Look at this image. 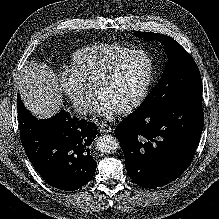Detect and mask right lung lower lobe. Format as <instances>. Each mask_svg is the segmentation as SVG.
<instances>
[{"instance_id": "right-lung-lower-lobe-1", "label": "right lung lower lobe", "mask_w": 219, "mask_h": 219, "mask_svg": "<svg viewBox=\"0 0 219 219\" xmlns=\"http://www.w3.org/2000/svg\"><path fill=\"white\" fill-rule=\"evenodd\" d=\"M21 143L30 162L51 186L73 191L94 176L97 162L89 146L97 135L96 125L64 110L38 120L17 95Z\"/></svg>"}]
</instances>
